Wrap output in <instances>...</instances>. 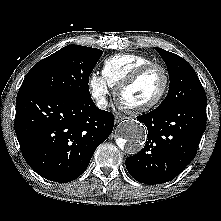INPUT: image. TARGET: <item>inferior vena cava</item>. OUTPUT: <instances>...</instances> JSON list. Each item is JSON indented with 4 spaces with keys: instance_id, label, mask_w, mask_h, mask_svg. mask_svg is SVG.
I'll use <instances>...</instances> for the list:
<instances>
[{
    "instance_id": "1",
    "label": "inferior vena cava",
    "mask_w": 221,
    "mask_h": 221,
    "mask_svg": "<svg viewBox=\"0 0 221 221\" xmlns=\"http://www.w3.org/2000/svg\"><path fill=\"white\" fill-rule=\"evenodd\" d=\"M96 105L100 109H106L107 105H108V102L106 101L105 98H100V99L97 100Z\"/></svg>"
}]
</instances>
